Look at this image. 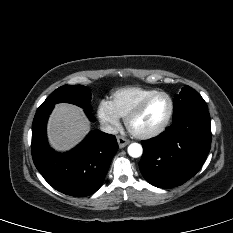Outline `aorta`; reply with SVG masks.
<instances>
[{
    "label": "aorta",
    "mask_w": 233,
    "mask_h": 233,
    "mask_svg": "<svg viewBox=\"0 0 233 233\" xmlns=\"http://www.w3.org/2000/svg\"><path fill=\"white\" fill-rule=\"evenodd\" d=\"M127 151H128V154L133 158H138L143 153L142 146L140 144H138V143H131L128 146Z\"/></svg>",
    "instance_id": "aorta-1"
}]
</instances>
